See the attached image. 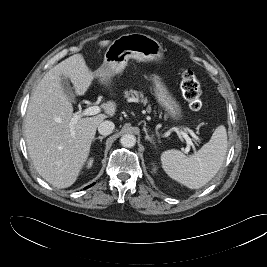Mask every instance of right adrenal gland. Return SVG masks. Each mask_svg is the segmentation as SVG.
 Listing matches in <instances>:
<instances>
[{"label": "right adrenal gland", "mask_w": 267, "mask_h": 267, "mask_svg": "<svg viewBox=\"0 0 267 267\" xmlns=\"http://www.w3.org/2000/svg\"><path fill=\"white\" fill-rule=\"evenodd\" d=\"M106 136H99V137H97V138H94V140L93 141H95V140H100V142H102V140L105 138Z\"/></svg>", "instance_id": "1"}]
</instances>
